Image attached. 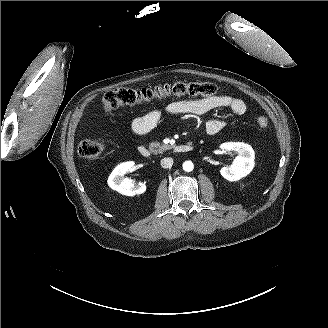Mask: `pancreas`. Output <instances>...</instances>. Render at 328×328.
<instances>
[{
	"label": "pancreas",
	"mask_w": 328,
	"mask_h": 328,
	"mask_svg": "<svg viewBox=\"0 0 328 328\" xmlns=\"http://www.w3.org/2000/svg\"><path fill=\"white\" fill-rule=\"evenodd\" d=\"M149 146L151 150H155V148H157L159 153H163L164 151L171 150L173 148L172 145H164L158 141L150 142Z\"/></svg>",
	"instance_id": "1"
}]
</instances>
